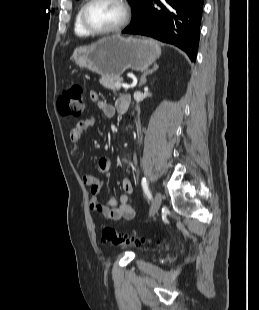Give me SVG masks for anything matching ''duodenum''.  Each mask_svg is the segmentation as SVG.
Instances as JSON below:
<instances>
[{
    "instance_id": "410a0bca",
    "label": "duodenum",
    "mask_w": 259,
    "mask_h": 310,
    "mask_svg": "<svg viewBox=\"0 0 259 310\" xmlns=\"http://www.w3.org/2000/svg\"><path fill=\"white\" fill-rule=\"evenodd\" d=\"M129 100L130 98L128 96H123L119 99L118 105H117V110L120 113H124L129 105Z\"/></svg>"
}]
</instances>
